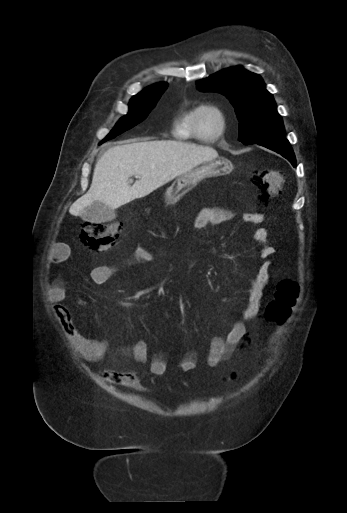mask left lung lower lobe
Segmentation results:
<instances>
[{"mask_svg":"<svg viewBox=\"0 0 347 513\" xmlns=\"http://www.w3.org/2000/svg\"><path fill=\"white\" fill-rule=\"evenodd\" d=\"M257 144L281 154L283 157L288 159L294 167H296L295 155L287 139H272Z\"/></svg>","mask_w":347,"mask_h":513,"instance_id":"left-lung-lower-lobe-1","label":"left lung lower lobe"}]
</instances>
